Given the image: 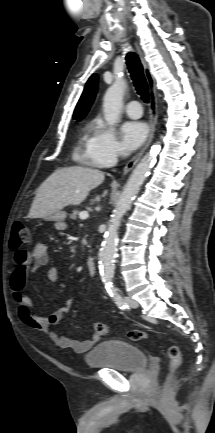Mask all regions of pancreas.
Returning a JSON list of instances; mask_svg holds the SVG:
<instances>
[{"label":"pancreas","mask_w":215,"mask_h":433,"mask_svg":"<svg viewBox=\"0 0 215 433\" xmlns=\"http://www.w3.org/2000/svg\"><path fill=\"white\" fill-rule=\"evenodd\" d=\"M81 213V211L74 210L73 213L70 215L71 219H76L77 216Z\"/></svg>","instance_id":"1"}]
</instances>
